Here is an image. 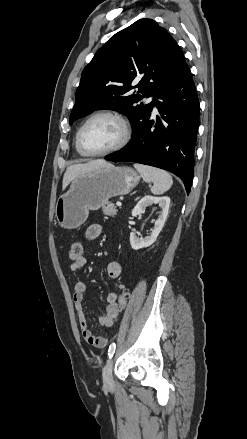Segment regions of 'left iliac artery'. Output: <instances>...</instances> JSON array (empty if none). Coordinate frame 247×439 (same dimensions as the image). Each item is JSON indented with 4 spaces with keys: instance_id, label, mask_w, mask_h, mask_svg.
Instances as JSON below:
<instances>
[{
    "instance_id": "44dca946",
    "label": "left iliac artery",
    "mask_w": 247,
    "mask_h": 439,
    "mask_svg": "<svg viewBox=\"0 0 247 439\" xmlns=\"http://www.w3.org/2000/svg\"><path fill=\"white\" fill-rule=\"evenodd\" d=\"M115 349H116V344H115V343H112V344L109 346V350H108V357H109L110 359L113 357V355H114V353H115Z\"/></svg>"
}]
</instances>
